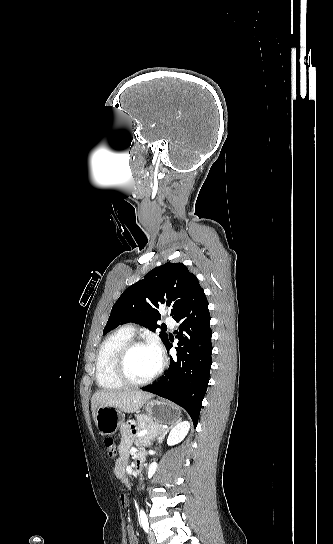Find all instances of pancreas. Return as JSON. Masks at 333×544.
<instances>
[{"instance_id":"cf45deb5","label":"pancreas","mask_w":333,"mask_h":544,"mask_svg":"<svg viewBox=\"0 0 333 544\" xmlns=\"http://www.w3.org/2000/svg\"><path fill=\"white\" fill-rule=\"evenodd\" d=\"M137 429L140 431V430H147L149 433L146 434L145 436H143L142 438H140L139 441H141V439H145V438H148V437H151L153 436L154 434L158 433V432H162L164 431V428L163 426L154 421L150 416L148 415H139L137 417Z\"/></svg>"}]
</instances>
